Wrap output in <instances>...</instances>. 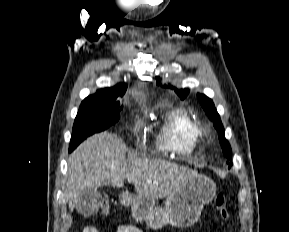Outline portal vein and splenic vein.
<instances>
[{
    "label": "portal vein and splenic vein",
    "mask_w": 289,
    "mask_h": 232,
    "mask_svg": "<svg viewBox=\"0 0 289 232\" xmlns=\"http://www.w3.org/2000/svg\"><path fill=\"white\" fill-rule=\"evenodd\" d=\"M128 181H133V179H129Z\"/></svg>",
    "instance_id": "18ae733b"
}]
</instances>
